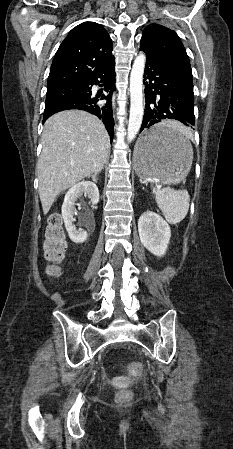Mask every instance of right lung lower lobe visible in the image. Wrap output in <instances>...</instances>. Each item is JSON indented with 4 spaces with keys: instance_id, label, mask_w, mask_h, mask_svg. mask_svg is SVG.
Returning <instances> with one entry per match:
<instances>
[{
    "instance_id": "obj_1",
    "label": "right lung lower lobe",
    "mask_w": 233,
    "mask_h": 449,
    "mask_svg": "<svg viewBox=\"0 0 233 449\" xmlns=\"http://www.w3.org/2000/svg\"><path fill=\"white\" fill-rule=\"evenodd\" d=\"M114 66L115 62L107 67L106 70L100 73L98 76L82 84L84 88V94L82 96L58 103L57 105L52 107L45 108L43 122H45L51 115L63 110L79 109L88 111L96 115L103 121L112 141L114 134V120L112 115L111 98L115 90ZM100 82L104 84V90L106 94L101 95V93H92L91 87L94 84L98 85ZM102 100H106V102H102Z\"/></svg>"
}]
</instances>
